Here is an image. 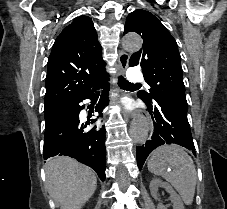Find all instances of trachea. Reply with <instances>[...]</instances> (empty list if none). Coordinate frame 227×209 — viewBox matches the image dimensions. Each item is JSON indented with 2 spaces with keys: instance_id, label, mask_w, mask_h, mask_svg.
<instances>
[{
  "instance_id": "obj_1",
  "label": "trachea",
  "mask_w": 227,
  "mask_h": 209,
  "mask_svg": "<svg viewBox=\"0 0 227 209\" xmlns=\"http://www.w3.org/2000/svg\"><path fill=\"white\" fill-rule=\"evenodd\" d=\"M118 85L122 88L127 90L131 87H139V84H132L131 82H128V80L124 79V77H119Z\"/></svg>"
}]
</instances>
